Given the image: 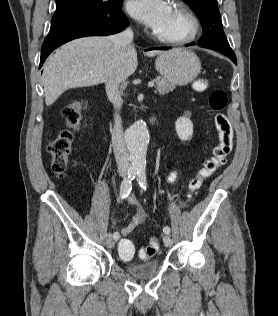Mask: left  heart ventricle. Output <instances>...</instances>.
I'll return each mask as SVG.
<instances>
[{
    "label": "left heart ventricle",
    "mask_w": 278,
    "mask_h": 316,
    "mask_svg": "<svg viewBox=\"0 0 278 316\" xmlns=\"http://www.w3.org/2000/svg\"><path fill=\"white\" fill-rule=\"evenodd\" d=\"M186 29L185 19L171 8L168 17L157 32L163 35L175 36L183 34Z\"/></svg>",
    "instance_id": "left-heart-ventricle-1"
}]
</instances>
